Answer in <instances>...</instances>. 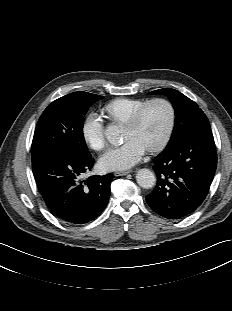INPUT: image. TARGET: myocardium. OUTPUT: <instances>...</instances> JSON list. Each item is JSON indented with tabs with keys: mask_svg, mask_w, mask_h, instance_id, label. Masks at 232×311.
I'll use <instances>...</instances> for the list:
<instances>
[{
	"mask_svg": "<svg viewBox=\"0 0 232 311\" xmlns=\"http://www.w3.org/2000/svg\"><path fill=\"white\" fill-rule=\"evenodd\" d=\"M155 104H164L169 111V121H168V125L167 128L165 130V133L163 134V136L161 137V139L154 144L153 146L147 148L148 151L150 152H156L161 150L169 141V139L172 136L174 127H175V123H176V111L175 108L173 106V104L165 99V98H153L150 99L149 101H147L146 103H144L133 115L132 117L129 119V121L125 124V128H135L139 125V123L141 122V120L143 119L145 113L147 112V110L155 105Z\"/></svg>",
	"mask_w": 232,
	"mask_h": 311,
	"instance_id": "myocardium-1",
	"label": "myocardium"
}]
</instances>
